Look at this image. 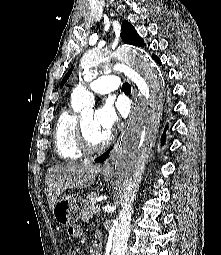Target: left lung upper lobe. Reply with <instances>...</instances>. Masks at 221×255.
Segmentation results:
<instances>
[{
	"mask_svg": "<svg viewBox=\"0 0 221 255\" xmlns=\"http://www.w3.org/2000/svg\"><path fill=\"white\" fill-rule=\"evenodd\" d=\"M121 39L126 44L136 45V46H145L143 39L137 34L134 27L128 22L124 21L121 25ZM74 67H72L67 74L64 76L61 82V88L69 78Z\"/></svg>",
	"mask_w": 221,
	"mask_h": 255,
	"instance_id": "1",
	"label": "left lung upper lobe"
}]
</instances>
